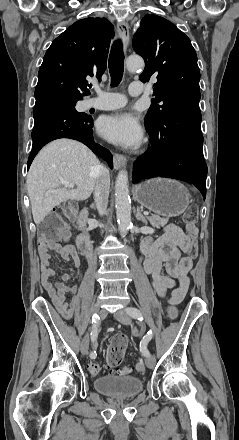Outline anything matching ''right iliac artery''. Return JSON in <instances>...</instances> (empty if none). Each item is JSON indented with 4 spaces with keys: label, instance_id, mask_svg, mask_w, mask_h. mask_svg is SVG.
I'll use <instances>...</instances> for the list:
<instances>
[{
    "label": "right iliac artery",
    "instance_id": "obj_1",
    "mask_svg": "<svg viewBox=\"0 0 239 440\" xmlns=\"http://www.w3.org/2000/svg\"><path fill=\"white\" fill-rule=\"evenodd\" d=\"M99 321H100V317H99V315L94 314L93 317H92V324H93V325H92V330H91V333H90V335H91V340H92L93 342L97 339V336H98V329H97V326H98V324H99ZM96 356H97L96 351H91V352H90V358H91V359H95Z\"/></svg>",
    "mask_w": 239,
    "mask_h": 440
}]
</instances>
